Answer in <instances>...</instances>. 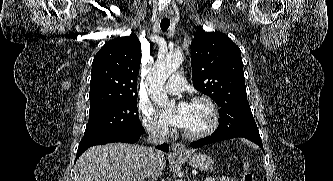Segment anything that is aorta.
<instances>
[{"mask_svg": "<svg viewBox=\"0 0 333 181\" xmlns=\"http://www.w3.org/2000/svg\"><path fill=\"white\" fill-rule=\"evenodd\" d=\"M183 55L177 52L166 58L157 60L152 71L148 75L149 95L152 101L160 107L166 108L174 102L168 99L163 86L168 77L182 64Z\"/></svg>", "mask_w": 333, "mask_h": 181, "instance_id": "1", "label": "aorta"}]
</instances>
